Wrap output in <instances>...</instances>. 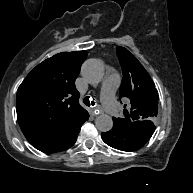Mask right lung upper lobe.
<instances>
[{"label": "right lung upper lobe", "mask_w": 193, "mask_h": 193, "mask_svg": "<svg viewBox=\"0 0 193 193\" xmlns=\"http://www.w3.org/2000/svg\"><path fill=\"white\" fill-rule=\"evenodd\" d=\"M87 51L63 52L36 66L17 91V119L36 149L60 152L78 136L88 112L79 104L75 87Z\"/></svg>", "instance_id": "right-lung-upper-lobe-1"}]
</instances>
